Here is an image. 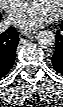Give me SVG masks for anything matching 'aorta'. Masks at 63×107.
Returning a JSON list of instances; mask_svg holds the SVG:
<instances>
[{"mask_svg":"<svg viewBox=\"0 0 63 107\" xmlns=\"http://www.w3.org/2000/svg\"><path fill=\"white\" fill-rule=\"evenodd\" d=\"M55 35L49 30L40 31L37 34V43L44 49L52 48L55 45Z\"/></svg>","mask_w":63,"mask_h":107,"instance_id":"aorta-1","label":"aorta"}]
</instances>
